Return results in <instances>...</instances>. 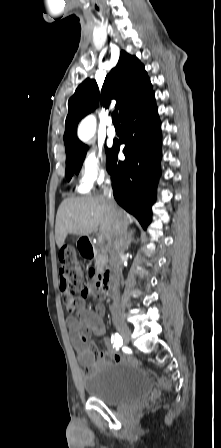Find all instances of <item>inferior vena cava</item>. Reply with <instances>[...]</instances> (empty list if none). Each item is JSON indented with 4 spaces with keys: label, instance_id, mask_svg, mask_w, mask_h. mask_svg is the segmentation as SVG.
I'll return each mask as SVG.
<instances>
[{
    "label": "inferior vena cava",
    "instance_id": "obj_1",
    "mask_svg": "<svg viewBox=\"0 0 221 448\" xmlns=\"http://www.w3.org/2000/svg\"><path fill=\"white\" fill-rule=\"evenodd\" d=\"M104 196L107 198L109 207L116 216V222L113 229V241L110 250V258L115 272L119 271L121 265V258L124 254L127 244V232L125 223L122 218V212L117 207L116 202L112 196L111 189L104 190ZM113 311L115 314L120 313L119 297L117 296L113 302Z\"/></svg>",
    "mask_w": 221,
    "mask_h": 448
}]
</instances>
